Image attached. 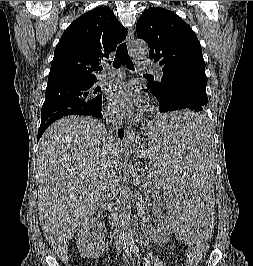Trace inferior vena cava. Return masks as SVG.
Here are the masks:
<instances>
[{
    "instance_id": "obj_1",
    "label": "inferior vena cava",
    "mask_w": 253,
    "mask_h": 266,
    "mask_svg": "<svg viewBox=\"0 0 253 266\" xmlns=\"http://www.w3.org/2000/svg\"><path fill=\"white\" fill-rule=\"evenodd\" d=\"M106 124L108 129V140L109 142L118 141L117 130L122 124V119L113 113L106 114ZM110 147H112L110 145ZM115 173L112 171L111 175H108L107 181L105 182L103 188L102 198L109 201V220L111 224V236L115 240L116 246H120L122 243V229L120 226V216L118 212V203H114L113 200L116 199V181L114 179Z\"/></svg>"
}]
</instances>
